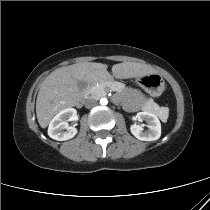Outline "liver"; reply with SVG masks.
<instances>
[{"mask_svg":"<svg viewBox=\"0 0 210 210\" xmlns=\"http://www.w3.org/2000/svg\"><path fill=\"white\" fill-rule=\"evenodd\" d=\"M107 68L106 64L84 62L53 71L42 82L37 95L36 115L39 125L46 128L54 115L66 108L76 106L80 102L81 89L78 86V81L94 85L108 81L112 77L129 79L155 73L150 66L136 62L113 65L112 76Z\"/></svg>","mask_w":210,"mask_h":210,"instance_id":"liver-1","label":"liver"}]
</instances>
